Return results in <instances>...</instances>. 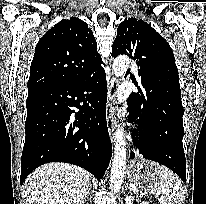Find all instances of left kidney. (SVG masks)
I'll return each mask as SVG.
<instances>
[{
  "label": "left kidney",
  "mask_w": 206,
  "mask_h": 204,
  "mask_svg": "<svg viewBox=\"0 0 206 204\" xmlns=\"http://www.w3.org/2000/svg\"><path fill=\"white\" fill-rule=\"evenodd\" d=\"M134 198L132 196H126L125 197V204H133ZM142 204H147L146 202H143Z\"/></svg>",
  "instance_id": "left-kidney-1"
}]
</instances>
